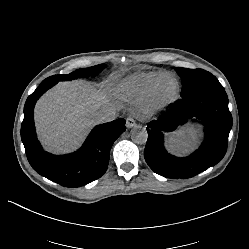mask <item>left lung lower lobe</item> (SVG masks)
<instances>
[{
    "label": "left lung lower lobe",
    "instance_id": "left-lung-lower-lobe-1",
    "mask_svg": "<svg viewBox=\"0 0 249 249\" xmlns=\"http://www.w3.org/2000/svg\"><path fill=\"white\" fill-rule=\"evenodd\" d=\"M190 119L199 120L204 126L205 138L199 149L183 158L167 153L163 133L175 130ZM231 127L232 116L223 87L195 92L182 97L156 121L148 124L144 158L155 173L164 177H193L224 157Z\"/></svg>",
    "mask_w": 249,
    "mask_h": 249
}]
</instances>
